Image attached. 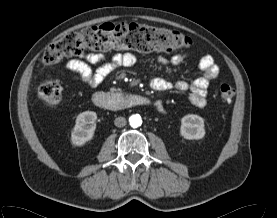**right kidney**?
I'll use <instances>...</instances> for the list:
<instances>
[{"label":"right kidney","mask_w":277,"mask_h":218,"mask_svg":"<svg viewBox=\"0 0 277 218\" xmlns=\"http://www.w3.org/2000/svg\"><path fill=\"white\" fill-rule=\"evenodd\" d=\"M97 114L93 111L80 113L76 118V124L71 133V141L75 146H82L93 138Z\"/></svg>","instance_id":"1"}]
</instances>
